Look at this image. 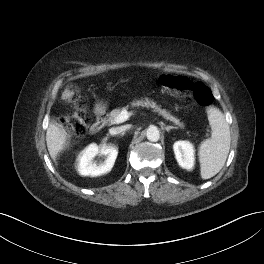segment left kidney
Listing matches in <instances>:
<instances>
[{"label":"left kidney","mask_w":264,"mask_h":264,"mask_svg":"<svg viewBox=\"0 0 264 264\" xmlns=\"http://www.w3.org/2000/svg\"><path fill=\"white\" fill-rule=\"evenodd\" d=\"M175 158L178 164L187 170L193 169L194 166V147L188 141H177L173 145Z\"/></svg>","instance_id":"5707ae66"}]
</instances>
